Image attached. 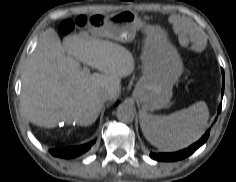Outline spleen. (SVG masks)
<instances>
[{"label":"spleen","mask_w":236,"mask_h":182,"mask_svg":"<svg viewBox=\"0 0 236 182\" xmlns=\"http://www.w3.org/2000/svg\"><path fill=\"white\" fill-rule=\"evenodd\" d=\"M140 126L145 138L164 151L183 149L197 141L207 125L209 110L199 101L186 109L167 116H157L140 111Z\"/></svg>","instance_id":"1"}]
</instances>
